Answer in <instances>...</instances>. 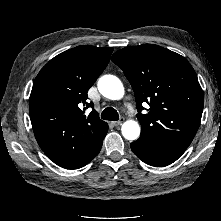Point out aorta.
<instances>
[{"instance_id": "obj_1", "label": "aorta", "mask_w": 221, "mask_h": 221, "mask_svg": "<svg viewBox=\"0 0 221 221\" xmlns=\"http://www.w3.org/2000/svg\"><path fill=\"white\" fill-rule=\"evenodd\" d=\"M98 90L106 98L119 100L124 96V87L119 78L114 75H104L98 81ZM140 126L134 120L123 123L121 132L127 140H136L140 135Z\"/></svg>"}]
</instances>
